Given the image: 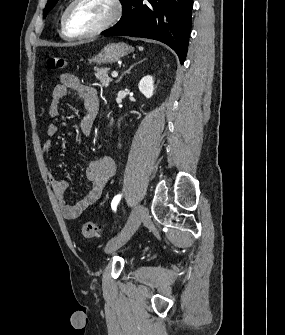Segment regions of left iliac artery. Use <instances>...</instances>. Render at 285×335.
Wrapping results in <instances>:
<instances>
[{
	"instance_id": "44dca946",
	"label": "left iliac artery",
	"mask_w": 285,
	"mask_h": 335,
	"mask_svg": "<svg viewBox=\"0 0 285 335\" xmlns=\"http://www.w3.org/2000/svg\"><path fill=\"white\" fill-rule=\"evenodd\" d=\"M120 199H121V195H117L113 198L112 203H111V207L114 211H116V207H117Z\"/></svg>"
}]
</instances>
